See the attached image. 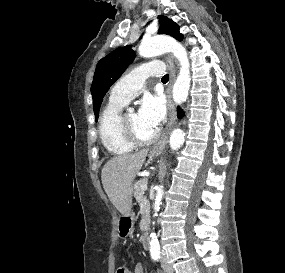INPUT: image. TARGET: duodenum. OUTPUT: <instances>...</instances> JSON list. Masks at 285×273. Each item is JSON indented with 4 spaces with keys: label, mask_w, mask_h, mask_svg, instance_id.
<instances>
[{
    "label": "duodenum",
    "mask_w": 285,
    "mask_h": 273,
    "mask_svg": "<svg viewBox=\"0 0 285 273\" xmlns=\"http://www.w3.org/2000/svg\"><path fill=\"white\" fill-rule=\"evenodd\" d=\"M142 243H143L144 249L147 250V249L149 248V234H148V233H145V234L143 235Z\"/></svg>",
    "instance_id": "duodenum-1"
}]
</instances>
